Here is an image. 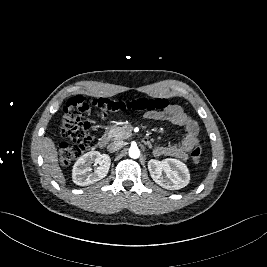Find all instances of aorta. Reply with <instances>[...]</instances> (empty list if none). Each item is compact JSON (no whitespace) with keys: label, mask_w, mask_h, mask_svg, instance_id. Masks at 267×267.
Listing matches in <instances>:
<instances>
[{"label":"aorta","mask_w":267,"mask_h":267,"mask_svg":"<svg viewBox=\"0 0 267 267\" xmlns=\"http://www.w3.org/2000/svg\"><path fill=\"white\" fill-rule=\"evenodd\" d=\"M129 156L133 159H137L140 157V150L136 146H132L129 149Z\"/></svg>","instance_id":"obj_1"}]
</instances>
